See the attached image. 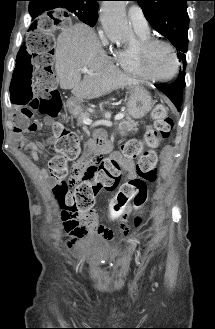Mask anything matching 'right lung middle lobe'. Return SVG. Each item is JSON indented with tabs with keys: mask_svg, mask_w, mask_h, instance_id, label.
<instances>
[{
	"mask_svg": "<svg viewBox=\"0 0 215 329\" xmlns=\"http://www.w3.org/2000/svg\"><path fill=\"white\" fill-rule=\"evenodd\" d=\"M65 14L73 13L75 14L82 22L88 24L89 26L93 27L97 21V19L92 18L87 14V9L83 4L80 3H72L66 2L63 4V8H61Z\"/></svg>",
	"mask_w": 215,
	"mask_h": 329,
	"instance_id": "obj_1",
	"label": "right lung middle lobe"
}]
</instances>
